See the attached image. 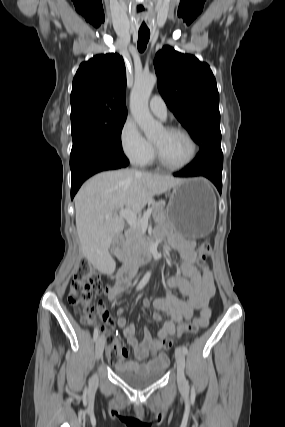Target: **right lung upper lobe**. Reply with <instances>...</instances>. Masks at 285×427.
Wrapping results in <instances>:
<instances>
[{"mask_svg": "<svg viewBox=\"0 0 285 427\" xmlns=\"http://www.w3.org/2000/svg\"><path fill=\"white\" fill-rule=\"evenodd\" d=\"M126 70L116 53L100 54L83 62L73 79L71 117L84 113L127 114Z\"/></svg>", "mask_w": 285, "mask_h": 427, "instance_id": "right-lung-upper-lobe-1", "label": "right lung upper lobe"}]
</instances>
